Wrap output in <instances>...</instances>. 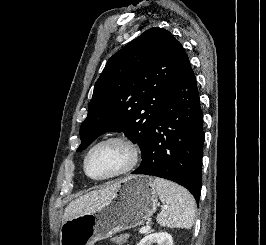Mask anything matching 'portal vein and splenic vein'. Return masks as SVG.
I'll list each match as a JSON object with an SVG mask.
<instances>
[{"label": "portal vein and splenic vein", "mask_w": 266, "mask_h": 245, "mask_svg": "<svg viewBox=\"0 0 266 245\" xmlns=\"http://www.w3.org/2000/svg\"><path fill=\"white\" fill-rule=\"evenodd\" d=\"M163 209H166V207H163ZM151 227H145V229H140L139 233H146V231H150Z\"/></svg>", "instance_id": "obj_1"}]
</instances>
